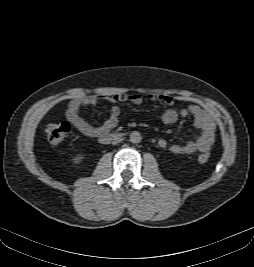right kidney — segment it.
<instances>
[{"label":"right kidney","mask_w":254,"mask_h":267,"mask_svg":"<svg viewBox=\"0 0 254 267\" xmlns=\"http://www.w3.org/2000/svg\"><path fill=\"white\" fill-rule=\"evenodd\" d=\"M83 159H84V155H83V154H77V155L73 158V163L78 164V163H80Z\"/></svg>","instance_id":"1"}]
</instances>
